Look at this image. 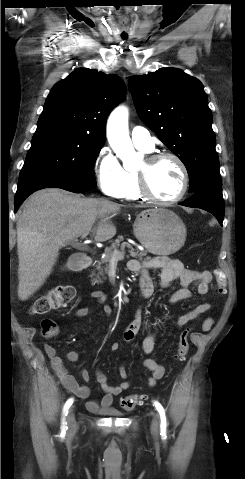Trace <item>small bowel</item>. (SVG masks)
<instances>
[{"label":"small bowel","mask_w":245,"mask_h":479,"mask_svg":"<svg viewBox=\"0 0 245 479\" xmlns=\"http://www.w3.org/2000/svg\"><path fill=\"white\" fill-rule=\"evenodd\" d=\"M128 267L133 272L141 273L140 289L144 297H151L154 293V285L149 276L151 270L160 271L161 286L163 288L168 287L173 281H178L181 287L175 290L169 301L171 304L188 300L192 297L190 286H196V292L200 296H204L208 293L209 284L212 281V274L207 270H190L186 269L182 262L178 259H171L164 256H157L147 261H140L132 259L128 263ZM91 297L98 303L104 305V311L107 314L111 313V307L107 304L108 297L102 291H94L91 293ZM211 305L209 303H201L196 307L190 309L183 315H181L176 325L182 327L188 322L200 318V316L209 311ZM89 313L87 307H80L75 311L76 317H84ZM214 324L212 318H207L202 323V330L209 331ZM142 327V312L137 310L131 322L124 330L123 338L125 341L130 342L135 339L138 332ZM156 345V333L150 332L142 342V350L145 354L151 355L155 350ZM120 345L118 342H113L110 345L112 351H118ZM44 351L49 357L51 367L60 380L62 385L68 392L76 395L79 398L86 399L90 395V389L85 385H80L75 378L68 372L64 362L60 356L57 355V351L53 345L46 344ZM79 352L77 350H70L67 353V359L70 362H76L79 360ZM144 366L150 371V376L147 379V384L150 387H154L158 380H160L165 374V367L157 362L155 359L147 358L144 361ZM119 376L123 381L118 385H111L108 383L107 376L100 370L96 371V380L100 384L104 394L100 400H89L87 402V409L92 412H99L107 410L111 407L114 397L121 394L131 388L132 384L127 381L128 373L125 367L120 366L118 370ZM81 378L88 382L90 380V374L86 369H82L80 372Z\"/></svg>","instance_id":"obj_1"}]
</instances>
